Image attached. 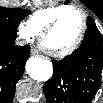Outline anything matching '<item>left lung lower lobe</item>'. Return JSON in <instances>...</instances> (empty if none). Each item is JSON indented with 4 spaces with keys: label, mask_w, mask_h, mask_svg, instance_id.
<instances>
[{
    "label": "left lung lower lobe",
    "mask_w": 103,
    "mask_h": 103,
    "mask_svg": "<svg viewBox=\"0 0 103 103\" xmlns=\"http://www.w3.org/2000/svg\"><path fill=\"white\" fill-rule=\"evenodd\" d=\"M52 63L53 77L44 84L48 103H90L101 85L102 34L96 26H89L80 47Z\"/></svg>",
    "instance_id": "0a47b994"
}]
</instances>
